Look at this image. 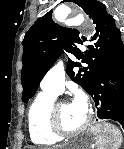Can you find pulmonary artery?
Returning <instances> with one entry per match:
<instances>
[{"instance_id":"e3ab8cb5","label":"pulmonary artery","mask_w":124,"mask_h":149,"mask_svg":"<svg viewBox=\"0 0 124 149\" xmlns=\"http://www.w3.org/2000/svg\"><path fill=\"white\" fill-rule=\"evenodd\" d=\"M65 71L62 61L54 64L45 75L41 87L44 91L60 94L64 89Z\"/></svg>"}]
</instances>
